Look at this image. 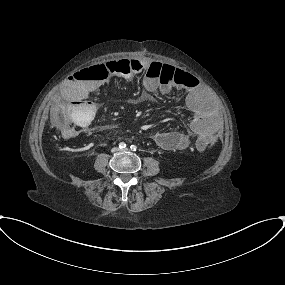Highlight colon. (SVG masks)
Masks as SVG:
<instances>
[{
  "label": "colon",
  "instance_id": "1",
  "mask_svg": "<svg viewBox=\"0 0 285 285\" xmlns=\"http://www.w3.org/2000/svg\"><path fill=\"white\" fill-rule=\"evenodd\" d=\"M139 68L140 64L132 60H114L82 70L81 73H79V79L100 80L108 75L130 78L139 72ZM147 74L169 88L185 83L184 74L180 70L166 67L160 63H153L147 71ZM74 114L76 115V113ZM91 120V115L86 118L80 117V124L82 126H88ZM50 125L61 134L73 133L75 131L69 110L64 105H57L53 108ZM213 143L214 139L211 135L206 134L202 136L201 144L203 149L212 146Z\"/></svg>",
  "mask_w": 285,
  "mask_h": 285
}]
</instances>
